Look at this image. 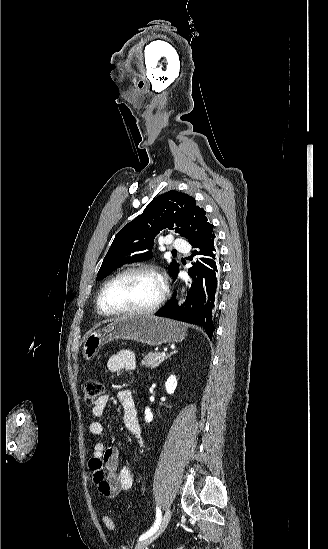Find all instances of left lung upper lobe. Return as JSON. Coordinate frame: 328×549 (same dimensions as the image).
I'll use <instances>...</instances> for the list:
<instances>
[{
	"instance_id": "1",
	"label": "left lung upper lobe",
	"mask_w": 328,
	"mask_h": 549,
	"mask_svg": "<svg viewBox=\"0 0 328 549\" xmlns=\"http://www.w3.org/2000/svg\"><path fill=\"white\" fill-rule=\"evenodd\" d=\"M166 228L186 238L194 247L214 235L206 211L196 205L193 197L175 190L168 191L154 198L141 215L116 234L97 280L107 277L126 263L149 259L156 235ZM178 266L176 261L169 265L172 278L178 273Z\"/></svg>"
}]
</instances>
